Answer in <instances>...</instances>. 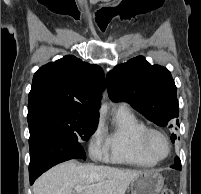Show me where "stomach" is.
<instances>
[{"label":"stomach","instance_id":"stomach-1","mask_svg":"<svg viewBox=\"0 0 201 194\" xmlns=\"http://www.w3.org/2000/svg\"><path fill=\"white\" fill-rule=\"evenodd\" d=\"M164 185L162 175L145 171L131 181V194H160Z\"/></svg>","mask_w":201,"mask_h":194}]
</instances>
